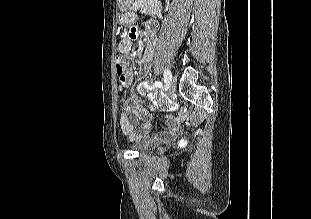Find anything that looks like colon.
<instances>
[{
  "label": "colon",
  "mask_w": 311,
  "mask_h": 219,
  "mask_svg": "<svg viewBox=\"0 0 311 219\" xmlns=\"http://www.w3.org/2000/svg\"><path fill=\"white\" fill-rule=\"evenodd\" d=\"M132 61L127 55H120L116 59V71L119 80V87L125 89L127 85L126 74L131 70ZM148 92L147 86L141 87V93L146 94Z\"/></svg>",
  "instance_id": "obj_1"
}]
</instances>
